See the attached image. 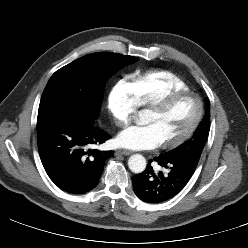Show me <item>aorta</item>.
I'll return each instance as SVG.
<instances>
[{
    "label": "aorta",
    "mask_w": 248,
    "mask_h": 248,
    "mask_svg": "<svg viewBox=\"0 0 248 248\" xmlns=\"http://www.w3.org/2000/svg\"><path fill=\"white\" fill-rule=\"evenodd\" d=\"M146 159L140 154L132 155L128 160L129 169L133 173H142L146 168Z\"/></svg>",
    "instance_id": "obj_1"
}]
</instances>
